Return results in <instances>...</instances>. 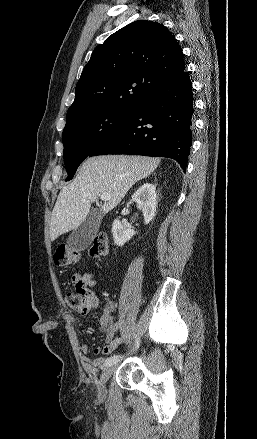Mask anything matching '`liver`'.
<instances>
[{"label": "liver", "instance_id": "6515ba94", "mask_svg": "<svg viewBox=\"0 0 257 439\" xmlns=\"http://www.w3.org/2000/svg\"><path fill=\"white\" fill-rule=\"evenodd\" d=\"M160 160L152 157L107 155L86 159L74 181L62 188L53 209L50 237L56 240L74 230L87 218L92 202L103 193L111 199L100 210L106 214L115 208L128 190L149 176Z\"/></svg>", "mask_w": 257, "mask_h": 439}]
</instances>
